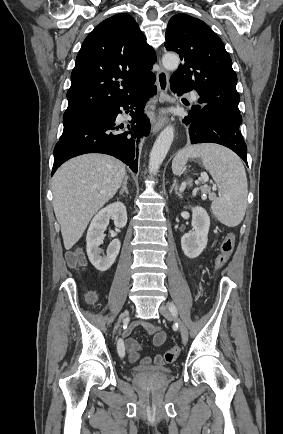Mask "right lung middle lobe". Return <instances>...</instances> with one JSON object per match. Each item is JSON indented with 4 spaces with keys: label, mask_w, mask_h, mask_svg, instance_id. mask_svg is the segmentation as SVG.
Masks as SVG:
<instances>
[{
    "label": "right lung middle lobe",
    "mask_w": 283,
    "mask_h": 434,
    "mask_svg": "<svg viewBox=\"0 0 283 434\" xmlns=\"http://www.w3.org/2000/svg\"><path fill=\"white\" fill-rule=\"evenodd\" d=\"M70 121H66V120H63V124L65 125V124H67V123H69Z\"/></svg>",
    "instance_id": "obj_1"
}]
</instances>
